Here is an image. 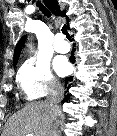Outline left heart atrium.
<instances>
[{
    "mask_svg": "<svg viewBox=\"0 0 117 136\" xmlns=\"http://www.w3.org/2000/svg\"><path fill=\"white\" fill-rule=\"evenodd\" d=\"M55 69L59 75H65L69 71V65L64 59H58L55 62Z\"/></svg>",
    "mask_w": 117,
    "mask_h": 136,
    "instance_id": "1",
    "label": "left heart atrium"
}]
</instances>
